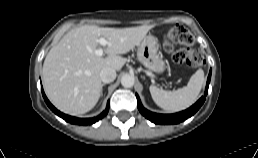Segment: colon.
<instances>
[{
	"instance_id": "5ec220e1",
	"label": "colon",
	"mask_w": 258,
	"mask_h": 158,
	"mask_svg": "<svg viewBox=\"0 0 258 158\" xmlns=\"http://www.w3.org/2000/svg\"><path fill=\"white\" fill-rule=\"evenodd\" d=\"M193 42L194 38L189 30L184 26L177 25L165 34L163 47L172 56L174 62L198 68L203 66L204 58L192 47ZM176 45H181V47L176 48Z\"/></svg>"
}]
</instances>
